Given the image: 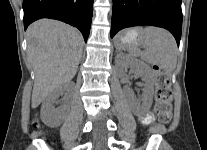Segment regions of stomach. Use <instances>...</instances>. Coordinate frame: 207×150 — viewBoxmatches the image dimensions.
I'll list each match as a JSON object with an SVG mask.
<instances>
[{
    "label": "stomach",
    "mask_w": 207,
    "mask_h": 150,
    "mask_svg": "<svg viewBox=\"0 0 207 150\" xmlns=\"http://www.w3.org/2000/svg\"><path fill=\"white\" fill-rule=\"evenodd\" d=\"M142 38L139 29H129L120 33L115 40L116 48L119 50L128 49L130 46L137 45Z\"/></svg>",
    "instance_id": "0dacf381"
}]
</instances>
